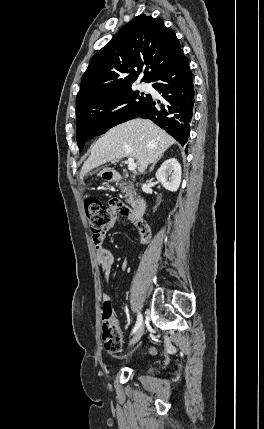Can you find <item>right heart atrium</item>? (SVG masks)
<instances>
[{"label": "right heart atrium", "instance_id": "obj_1", "mask_svg": "<svg viewBox=\"0 0 264 429\" xmlns=\"http://www.w3.org/2000/svg\"><path fill=\"white\" fill-rule=\"evenodd\" d=\"M122 112V106L121 105H113L109 108V113L111 115H120Z\"/></svg>", "mask_w": 264, "mask_h": 429}]
</instances>
